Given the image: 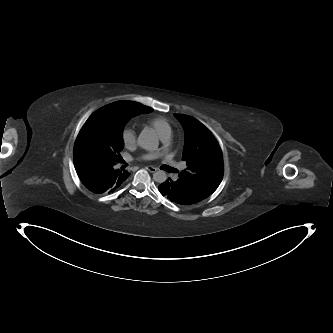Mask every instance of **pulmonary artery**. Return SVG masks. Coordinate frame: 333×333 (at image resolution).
<instances>
[{
    "instance_id": "pulmonary-artery-1",
    "label": "pulmonary artery",
    "mask_w": 333,
    "mask_h": 333,
    "mask_svg": "<svg viewBox=\"0 0 333 333\" xmlns=\"http://www.w3.org/2000/svg\"><path fill=\"white\" fill-rule=\"evenodd\" d=\"M161 139H162L164 142H168L169 139H170V133H167V134L161 136ZM146 158L148 159V158H150V156H147Z\"/></svg>"
}]
</instances>
